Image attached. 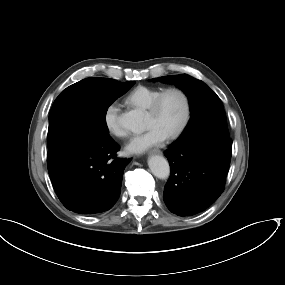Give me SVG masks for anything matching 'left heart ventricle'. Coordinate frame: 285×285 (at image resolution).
I'll list each match as a JSON object with an SVG mask.
<instances>
[{"mask_svg":"<svg viewBox=\"0 0 285 285\" xmlns=\"http://www.w3.org/2000/svg\"><path fill=\"white\" fill-rule=\"evenodd\" d=\"M183 115L182 97L176 92H171L164 97L156 114H147V128L156 127L168 136L180 125Z\"/></svg>","mask_w":285,"mask_h":285,"instance_id":"b2bd125f","label":"left heart ventricle"}]
</instances>
